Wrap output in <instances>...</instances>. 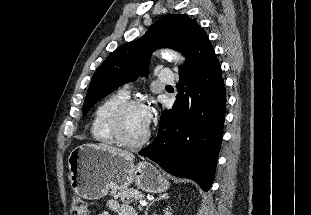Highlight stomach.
Instances as JSON below:
<instances>
[{
	"label": "stomach",
	"mask_w": 311,
	"mask_h": 215,
	"mask_svg": "<svg viewBox=\"0 0 311 215\" xmlns=\"http://www.w3.org/2000/svg\"><path fill=\"white\" fill-rule=\"evenodd\" d=\"M68 167L72 189L88 200L124 190L131 183L153 194L164 192L170 186L151 163L142 161L134 164L133 159L111 153L95 144H84L73 149L68 157Z\"/></svg>",
	"instance_id": "1"
}]
</instances>
